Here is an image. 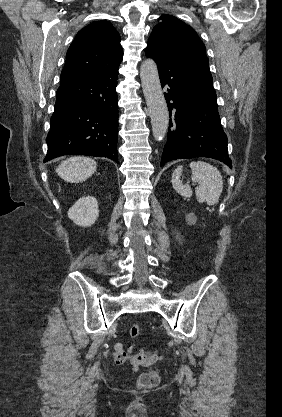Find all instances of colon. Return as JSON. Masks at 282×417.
Segmentation results:
<instances>
[{
	"instance_id": "1",
	"label": "colon",
	"mask_w": 282,
	"mask_h": 417,
	"mask_svg": "<svg viewBox=\"0 0 282 417\" xmlns=\"http://www.w3.org/2000/svg\"><path fill=\"white\" fill-rule=\"evenodd\" d=\"M141 334L140 326L138 324H132L129 327V336L131 338H138ZM155 351V352H154ZM151 351L150 349H141L140 354H131V348L125 343H117L113 351L112 357L116 365H130L134 370H138L141 367L147 368L149 371L142 373L138 380V386L141 388H150L155 386L160 378L157 369L148 368V365L158 362V355L156 349Z\"/></svg>"
}]
</instances>
